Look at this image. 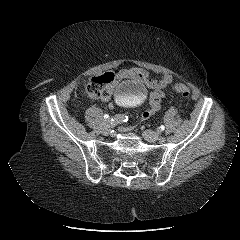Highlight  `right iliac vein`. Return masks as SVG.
I'll use <instances>...</instances> for the list:
<instances>
[{
    "label": "right iliac vein",
    "instance_id": "63e3f726",
    "mask_svg": "<svg viewBox=\"0 0 240 240\" xmlns=\"http://www.w3.org/2000/svg\"><path fill=\"white\" fill-rule=\"evenodd\" d=\"M111 132V126L109 124L104 125V127L102 128V133L105 136H108Z\"/></svg>",
    "mask_w": 240,
    "mask_h": 240
}]
</instances>
